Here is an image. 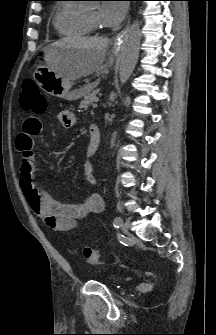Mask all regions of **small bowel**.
Returning <instances> with one entry per match:
<instances>
[{
  "label": "small bowel",
  "instance_id": "c3829d8e",
  "mask_svg": "<svg viewBox=\"0 0 216 335\" xmlns=\"http://www.w3.org/2000/svg\"><path fill=\"white\" fill-rule=\"evenodd\" d=\"M58 119L65 127H70L74 123L73 114L69 110L60 111ZM42 127L43 120L29 118L24 123L23 132L17 137V148L21 153L20 186L28 206L47 227L55 231H71L87 216L100 213L104 207L103 200L98 194H91L78 203H63L54 199L35 180L34 144ZM98 146L99 140L89 138L87 154L92 156ZM84 169L86 182L95 185L96 177L92 165L87 162Z\"/></svg>",
  "mask_w": 216,
  "mask_h": 335
}]
</instances>
